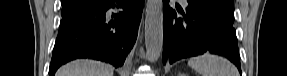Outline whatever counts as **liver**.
<instances>
[{
    "mask_svg": "<svg viewBox=\"0 0 287 76\" xmlns=\"http://www.w3.org/2000/svg\"><path fill=\"white\" fill-rule=\"evenodd\" d=\"M56 76H113V67L95 60H75L61 67Z\"/></svg>",
    "mask_w": 287,
    "mask_h": 76,
    "instance_id": "obj_1",
    "label": "liver"
}]
</instances>
